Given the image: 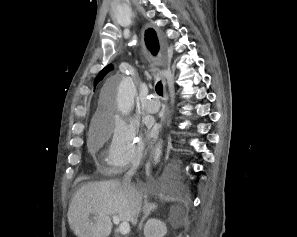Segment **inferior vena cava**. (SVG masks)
<instances>
[{"mask_svg": "<svg viewBox=\"0 0 297 237\" xmlns=\"http://www.w3.org/2000/svg\"><path fill=\"white\" fill-rule=\"evenodd\" d=\"M135 173V168H131L126 175L124 176L122 180V186L126 192V194L130 197L132 200V204L135 208V214L138 215L141 211V198L136 194L135 190L133 189L131 185V178Z\"/></svg>", "mask_w": 297, "mask_h": 237, "instance_id": "602c4592", "label": "inferior vena cava"}]
</instances>
